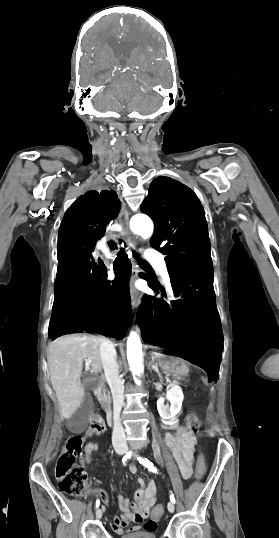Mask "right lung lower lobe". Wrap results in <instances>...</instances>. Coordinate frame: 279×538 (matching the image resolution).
I'll list each match as a JSON object with an SVG mask.
<instances>
[{"instance_id":"1","label":"right lung lower lobe","mask_w":279,"mask_h":538,"mask_svg":"<svg viewBox=\"0 0 279 538\" xmlns=\"http://www.w3.org/2000/svg\"><path fill=\"white\" fill-rule=\"evenodd\" d=\"M120 208L113 190L88 191L66 212L58 233L51 338L80 331L124 336L130 321L131 263L121 249L114 261L116 277L111 284L107 268L91 255Z\"/></svg>"}]
</instances>
